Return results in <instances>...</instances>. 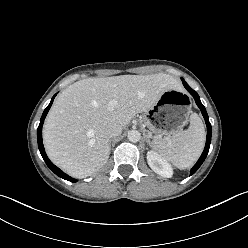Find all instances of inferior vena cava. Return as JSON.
I'll return each mask as SVG.
<instances>
[{"label": "inferior vena cava", "mask_w": 248, "mask_h": 248, "mask_svg": "<svg viewBox=\"0 0 248 248\" xmlns=\"http://www.w3.org/2000/svg\"><path fill=\"white\" fill-rule=\"evenodd\" d=\"M122 133V126L118 124H111L106 129V134L109 138L119 136Z\"/></svg>", "instance_id": "inferior-vena-cava-1"}]
</instances>
